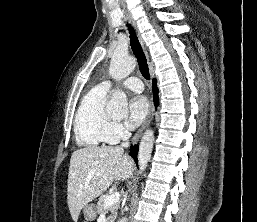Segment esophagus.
<instances>
[{
    "label": "esophagus",
    "mask_w": 257,
    "mask_h": 222,
    "mask_svg": "<svg viewBox=\"0 0 257 222\" xmlns=\"http://www.w3.org/2000/svg\"><path fill=\"white\" fill-rule=\"evenodd\" d=\"M128 20L130 21V23L132 24V26L134 27L136 33H137V36L139 38V41L143 47V49L145 50L146 54H147V51H146V47H145V44H144V40L142 38V35L137 27V24L135 22V20L129 15V14H126ZM153 116H154V105L152 104L151 105V108L149 110V113L145 119V121L143 122L142 126L138 129V131L135 133V135L133 136L132 138V144H136L138 142V140L140 139L143 131L145 130L146 127H148L152 120H153Z\"/></svg>",
    "instance_id": "34e87169"
}]
</instances>
